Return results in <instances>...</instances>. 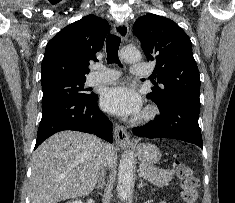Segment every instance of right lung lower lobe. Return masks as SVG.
Wrapping results in <instances>:
<instances>
[{
	"mask_svg": "<svg viewBox=\"0 0 235 203\" xmlns=\"http://www.w3.org/2000/svg\"><path fill=\"white\" fill-rule=\"evenodd\" d=\"M75 130L94 133L112 143V123L98 108L97 94L88 98H64L42 107V119L37 132V148L56 132Z\"/></svg>",
	"mask_w": 235,
	"mask_h": 203,
	"instance_id": "right-lung-lower-lobe-1",
	"label": "right lung lower lobe"
}]
</instances>
